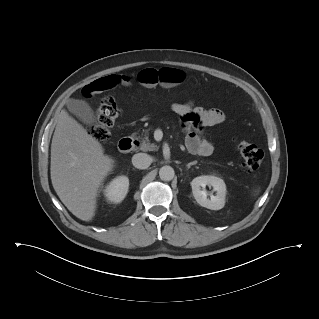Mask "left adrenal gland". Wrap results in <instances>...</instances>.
<instances>
[{
  "mask_svg": "<svg viewBox=\"0 0 319 319\" xmlns=\"http://www.w3.org/2000/svg\"><path fill=\"white\" fill-rule=\"evenodd\" d=\"M197 162L196 161H193V162H190L188 163L186 166H187V169H189L192 165H195Z\"/></svg>",
  "mask_w": 319,
  "mask_h": 319,
  "instance_id": "left-adrenal-gland-1",
  "label": "left adrenal gland"
}]
</instances>
